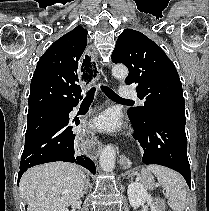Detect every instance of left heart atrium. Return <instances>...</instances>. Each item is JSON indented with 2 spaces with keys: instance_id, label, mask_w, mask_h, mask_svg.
<instances>
[{
  "instance_id": "1",
  "label": "left heart atrium",
  "mask_w": 209,
  "mask_h": 211,
  "mask_svg": "<svg viewBox=\"0 0 209 211\" xmlns=\"http://www.w3.org/2000/svg\"><path fill=\"white\" fill-rule=\"evenodd\" d=\"M121 125L120 114L115 109H107L93 120V126L96 129L107 133L119 131Z\"/></svg>"
}]
</instances>
